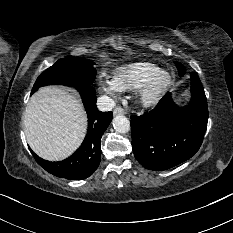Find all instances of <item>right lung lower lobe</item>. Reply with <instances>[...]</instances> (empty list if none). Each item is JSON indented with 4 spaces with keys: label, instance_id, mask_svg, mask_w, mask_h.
<instances>
[{
    "label": "right lung lower lobe",
    "instance_id": "1",
    "mask_svg": "<svg viewBox=\"0 0 233 233\" xmlns=\"http://www.w3.org/2000/svg\"><path fill=\"white\" fill-rule=\"evenodd\" d=\"M82 98L88 114V132L80 148L69 158L50 162L31 153L40 166L47 172L66 179H85L91 176L100 164V141L104 131L109 126L112 112H99L96 107V91L91 86L76 88Z\"/></svg>",
    "mask_w": 233,
    "mask_h": 233
}]
</instances>
